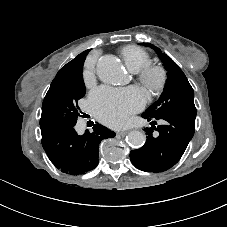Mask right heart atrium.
I'll return each mask as SVG.
<instances>
[{"mask_svg": "<svg viewBox=\"0 0 227 227\" xmlns=\"http://www.w3.org/2000/svg\"><path fill=\"white\" fill-rule=\"evenodd\" d=\"M97 59H98L97 54H91L90 56H88L86 63H85V69H84V72H83V78H84L85 81L90 79V77L93 73V69L95 67Z\"/></svg>", "mask_w": 227, "mask_h": 227, "instance_id": "1", "label": "right heart atrium"}]
</instances>
